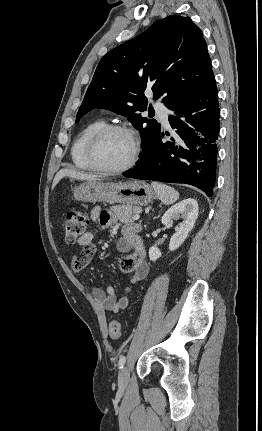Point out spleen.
Returning a JSON list of instances; mask_svg holds the SVG:
<instances>
[{"instance_id": "spleen-1", "label": "spleen", "mask_w": 262, "mask_h": 431, "mask_svg": "<svg viewBox=\"0 0 262 431\" xmlns=\"http://www.w3.org/2000/svg\"><path fill=\"white\" fill-rule=\"evenodd\" d=\"M151 186L154 189L157 197L165 205L173 204L179 199L178 191L166 184L152 182Z\"/></svg>"}]
</instances>
